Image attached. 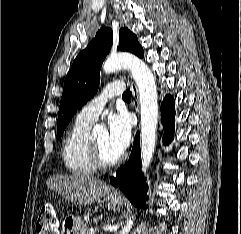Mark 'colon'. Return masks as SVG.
<instances>
[{"instance_id":"1","label":"colon","mask_w":241,"mask_h":234,"mask_svg":"<svg viewBox=\"0 0 241 234\" xmlns=\"http://www.w3.org/2000/svg\"><path fill=\"white\" fill-rule=\"evenodd\" d=\"M58 219L54 208L51 205L44 206L37 219V234H57Z\"/></svg>"}]
</instances>
